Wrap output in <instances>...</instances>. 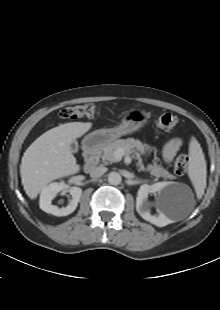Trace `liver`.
<instances>
[{"label": "liver", "mask_w": 220, "mask_h": 310, "mask_svg": "<svg viewBox=\"0 0 220 310\" xmlns=\"http://www.w3.org/2000/svg\"><path fill=\"white\" fill-rule=\"evenodd\" d=\"M91 127V122L65 123L46 131L28 147L22 157L20 174L30 199H35L51 181L79 172L70 145Z\"/></svg>", "instance_id": "obj_1"}]
</instances>
